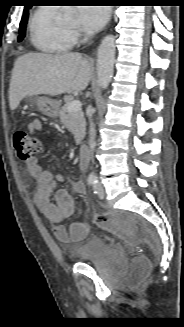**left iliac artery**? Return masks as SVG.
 Instances as JSON below:
<instances>
[{"label": "left iliac artery", "mask_w": 184, "mask_h": 327, "mask_svg": "<svg viewBox=\"0 0 184 327\" xmlns=\"http://www.w3.org/2000/svg\"><path fill=\"white\" fill-rule=\"evenodd\" d=\"M97 183V182H96ZM96 183H95V185H94V193H97V191H96V188H97V186H96Z\"/></svg>", "instance_id": "44dca946"}]
</instances>
